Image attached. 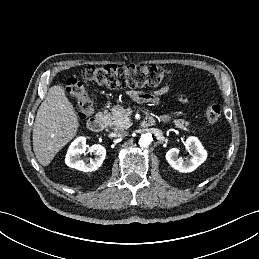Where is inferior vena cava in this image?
Instances as JSON below:
<instances>
[{
    "instance_id": "obj_1",
    "label": "inferior vena cava",
    "mask_w": 259,
    "mask_h": 259,
    "mask_svg": "<svg viewBox=\"0 0 259 259\" xmlns=\"http://www.w3.org/2000/svg\"><path fill=\"white\" fill-rule=\"evenodd\" d=\"M127 135H128V132L125 131L124 129H119L114 132V136L116 138H123V137H126Z\"/></svg>"
}]
</instances>
